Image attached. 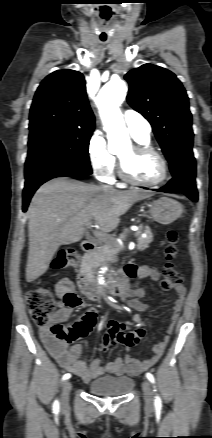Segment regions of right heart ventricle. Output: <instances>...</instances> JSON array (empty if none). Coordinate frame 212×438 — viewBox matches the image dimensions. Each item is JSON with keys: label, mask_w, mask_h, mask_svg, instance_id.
Here are the masks:
<instances>
[{"label": "right heart ventricle", "mask_w": 212, "mask_h": 438, "mask_svg": "<svg viewBox=\"0 0 212 438\" xmlns=\"http://www.w3.org/2000/svg\"><path fill=\"white\" fill-rule=\"evenodd\" d=\"M140 144H148L149 139L143 140V139H136Z\"/></svg>", "instance_id": "e07e8e85"}]
</instances>
